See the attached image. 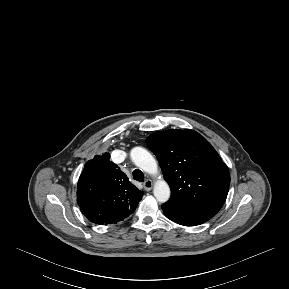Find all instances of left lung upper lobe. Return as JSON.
I'll list each match as a JSON object with an SVG mask.
<instances>
[{
	"mask_svg": "<svg viewBox=\"0 0 289 289\" xmlns=\"http://www.w3.org/2000/svg\"><path fill=\"white\" fill-rule=\"evenodd\" d=\"M146 143L170 186L168 202L213 216L220 210L229 191L230 174L203 136L193 130H165L150 135Z\"/></svg>",
	"mask_w": 289,
	"mask_h": 289,
	"instance_id": "left-lung-upper-lobe-1",
	"label": "left lung upper lobe"
}]
</instances>
